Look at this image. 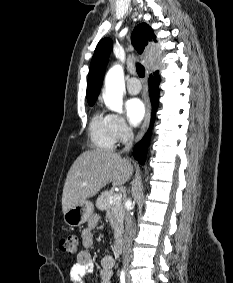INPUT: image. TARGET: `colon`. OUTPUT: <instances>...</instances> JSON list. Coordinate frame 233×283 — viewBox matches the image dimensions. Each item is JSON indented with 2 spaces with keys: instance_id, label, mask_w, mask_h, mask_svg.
Listing matches in <instances>:
<instances>
[{
  "instance_id": "1",
  "label": "colon",
  "mask_w": 233,
  "mask_h": 283,
  "mask_svg": "<svg viewBox=\"0 0 233 283\" xmlns=\"http://www.w3.org/2000/svg\"><path fill=\"white\" fill-rule=\"evenodd\" d=\"M79 246V238L76 235H69L59 242L60 249L70 255H77L79 253Z\"/></svg>"
}]
</instances>
